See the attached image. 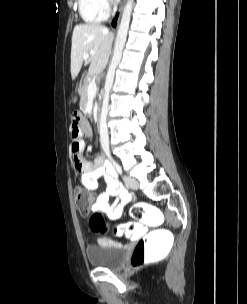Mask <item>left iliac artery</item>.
Wrapping results in <instances>:
<instances>
[{"label":"left iliac artery","instance_id":"44dca946","mask_svg":"<svg viewBox=\"0 0 247 304\" xmlns=\"http://www.w3.org/2000/svg\"><path fill=\"white\" fill-rule=\"evenodd\" d=\"M112 164L114 165V167L116 168L117 172L121 175L122 174V169L121 167L112 159L110 158Z\"/></svg>","mask_w":247,"mask_h":304}]
</instances>
